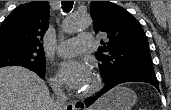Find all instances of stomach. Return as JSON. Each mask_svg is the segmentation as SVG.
Instances as JSON below:
<instances>
[{
	"instance_id": "0dacf381",
	"label": "stomach",
	"mask_w": 171,
	"mask_h": 110,
	"mask_svg": "<svg viewBox=\"0 0 171 110\" xmlns=\"http://www.w3.org/2000/svg\"><path fill=\"white\" fill-rule=\"evenodd\" d=\"M102 105L97 110H131L137 101L134 91L126 87H116L101 98Z\"/></svg>"
}]
</instances>
